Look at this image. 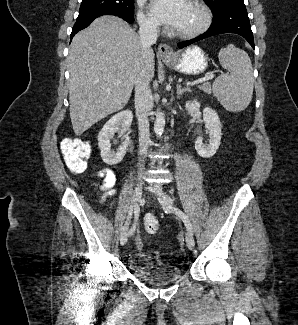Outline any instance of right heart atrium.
Here are the masks:
<instances>
[{"label":"right heart atrium","mask_w":298,"mask_h":325,"mask_svg":"<svg viewBox=\"0 0 298 325\" xmlns=\"http://www.w3.org/2000/svg\"><path fill=\"white\" fill-rule=\"evenodd\" d=\"M141 10L139 13V23L142 30H157V26L154 21L143 11V5L141 4Z\"/></svg>","instance_id":"obj_1"}]
</instances>
